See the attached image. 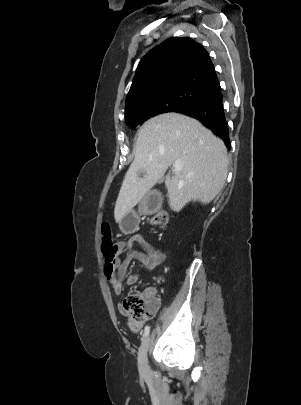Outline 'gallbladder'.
Instances as JSON below:
<instances>
[{"label": "gallbladder", "instance_id": "1", "mask_svg": "<svg viewBox=\"0 0 301 405\" xmlns=\"http://www.w3.org/2000/svg\"><path fill=\"white\" fill-rule=\"evenodd\" d=\"M163 179H164V178H161V179H160V182H162V181H163Z\"/></svg>", "mask_w": 301, "mask_h": 405}]
</instances>
